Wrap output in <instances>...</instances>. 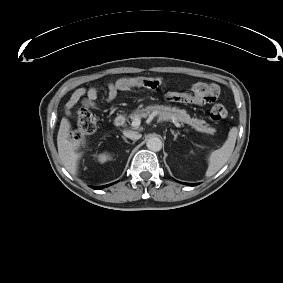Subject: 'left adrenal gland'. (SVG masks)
Here are the masks:
<instances>
[{"label":"left adrenal gland","instance_id":"1","mask_svg":"<svg viewBox=\"0 0 283 283\" xmlns=\"http://www.w3.org/2000/svg\"><path fill=\"white\" fill-rule=\"evenodd\" d=\"M171 133H172V135L174 136V140H176L179 133H176V132H174L173 130H171Z\"/></svg>","mask_w":283,"mask_h":283}]
</instances>
